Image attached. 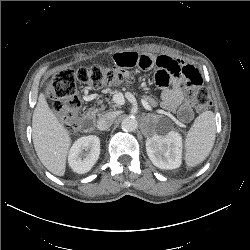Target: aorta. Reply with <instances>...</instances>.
<instances>
[{"instance_id":"aorta-1","label":"aorta","mask_w":250,"mask_h":250,"mask_svg":"<svg viewBox=\"0 0 250 250\" xmlns=\"http://www.w3.org/2000/svg\"><path fill=\"white\" fill-rule=\"evenodd\" d=\"M138 122L135 117L129 116L123 119L121 123V128L126 132H133L137 129Z\"/></svg>"}]
</instances>
